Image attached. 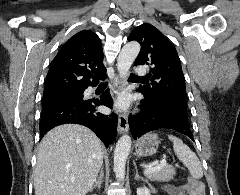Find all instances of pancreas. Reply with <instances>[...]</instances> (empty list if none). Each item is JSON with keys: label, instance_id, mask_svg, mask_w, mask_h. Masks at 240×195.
Instances as JSON below:
<instances>
[{"label": "pancreas", "instance_id": "cf45deb5", "mask_svg": "<svg viewBox=\"0 0 240 195\" xmlns=\"http://www.w3.org/2000/svg\"><path fill=\"white\" fill-rule=\"evenodd\" d=\"M175 173L176 167L168 165V167H161L159 171H150V173H146V175L151 181H171Z\"/></svg>", "mask_w": 240, "mask_h": 195}]
</instances>
